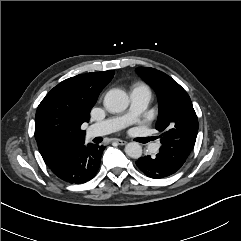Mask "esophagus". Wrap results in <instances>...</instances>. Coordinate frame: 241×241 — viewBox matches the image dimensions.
<instances>
[{"instance_id":"obj_1","label":"esophagus","mask_w":241,"mask_h":241,"mask_svg":"<svg viewBox=\"0 0 241 241\" xmlns=\"http://www.w3.org/2000/svg\"><path fill=\"white\" fill-rule=\"evenodd\" d=\"M115 141H116V143L119 144V145H125V144H127V141H125V140L117 139V140H115Z\"/></svg>"}]
</instances>
